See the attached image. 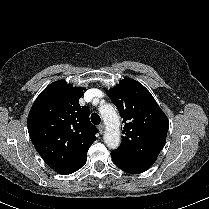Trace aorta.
Here are the masks:
<instances>
[{
    "mask_svg": "<svg viewBox=\"0 0 209 209\" xmlns=\"http://www.w3.org/2000/svg\"><path fill=\"white\" fill-rule=\"evenodd\" d=\"M99 112L106 126L104 142L110 149H117L121 142L120 117L111 104L100 107Z\"/></svg>",
    "mask_w": 209,
    "mask_h": 209,
    "instance_id": "aorta-1",
    "label": "aorta"
}]
</instances>
